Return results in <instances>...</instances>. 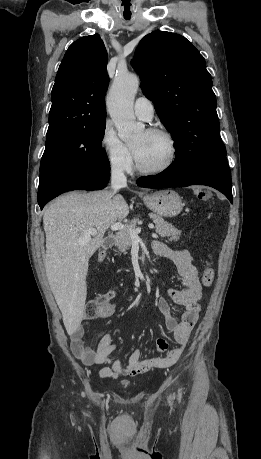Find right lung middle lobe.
<instances>
[{
  "label": "right lung middle lobe",
  "instance_id": "right-lung-middle-lobe-1",
  "mask_svg": "<svg viewBox=\"0 0 261 459\" xmlns=\"http://www.w3.org/2000/svg\"><path fill=\"white\" fill-rule=\"evenodd\" d=\"M106 121L93 126L67 129L47 134L46 148L40 164L38 196L53 183L78 172L110 170L102 150Z\"/></svg>",
  "mask_w": 261,
  "mask_h": 459
}]
</instances>
